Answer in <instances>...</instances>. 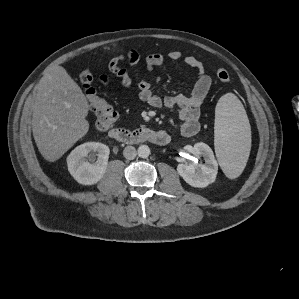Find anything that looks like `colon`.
Returning a JSON list of instances; mask_svg holds the SVG:
<instances>
[{"label": "colon", "instance_id": "obj_1", "mask_svg": "<svg viewBox=\"0 0 299 299\" xmlns=\"http://www.w3.org/2000/svg\"><path fill=\"white\" fill-rule=\"evenodd\" d=\"M216 76L223 83L230 81V75L224 69H218ZM79 81L84 89L90 108L96 116L95 128L100 132L111 131L118 117L117 111L93 88V75L90 70L82 71L79 75Z\"/></svg>", "mask_w": 299, "mask_h": 299}]
</instances>
